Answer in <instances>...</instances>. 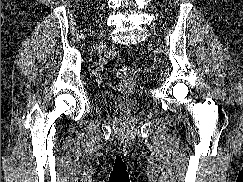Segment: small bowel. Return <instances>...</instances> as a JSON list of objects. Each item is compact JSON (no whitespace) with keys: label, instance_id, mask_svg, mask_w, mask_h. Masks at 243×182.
<instances>
[{"label":"small bowel","instance_id":"small-bowel-1","mask_svg":"<svg viewBox=\"0 0 243 182\" xmlns=\"http://www.w3.org/2000/svg\"><path fill=\"white\" fill-rule=\"evenodd\" d=\"M113 55V52L110 51L107 53V55L100 60V62L97 64L96 68H95V74L96 76L99 78L100 77V74L104 68V65L106 64V60L111 57Z\"/></svg>","mask_w":243,"mask_h":182}]
</instances>
